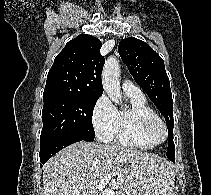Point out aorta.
I'll use <instances>...</instances> for the list:
<instances>
[{
    "instance_id": "1",
    "label": "aorta",
    "mask_w": 211,
    "mask_h": 195,
    "mask_svg": "<svg viewBox=\"0 0 211 195\" xmlns=\"http://www.w3.org/2000/svg\"><path fill=\"white\" fill-rule=\"evenodd\" d=\"M119 74V61L115 57H109L103 67L102 84L104 91L115 104L122 103Z\"/></svg>"
}]
</instances>
